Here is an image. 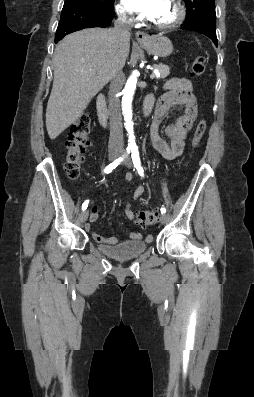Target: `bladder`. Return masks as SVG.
I'll list each match as a JSON object with an SVG mask.
<instances>
[{
  "instance_id": "obj_1",
  "label": "bladder",
  "mask_w": 254,
  "mask_h": 397,
  "mask_svg": "<svg viewBox=\"0 0 254 397\" xmlns=\"http://www.w3.org/2000/svg\"><path fill=\"white\" fill-rule=\"evenodd\" d=\"M147 248V245L142 240L126 241L116 245H98V249L105 255L118 259L125 260L139 256Z\"/></svg>"
}]
</instances>
